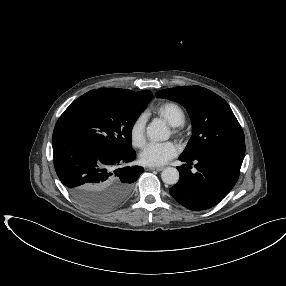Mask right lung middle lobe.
<instances>
[{"label": "right lung middle lobe", "instance_id": "obj_1", "mask_svg": "<svg viewBox=\"0 0 286 286\" xmlns=\"http://www.w3.org/2000/svg\"><path fill=\"white\" fill-rule=\"evenodd\" d=\"M152 97L121 94L111 88L91 90L76 99L58 122L84 140L109 151L132 150V128ZM103 211L105 208L87 205Z\"/></svg>", "mask_w": 286, "mask_h": 286}]
</instances>
